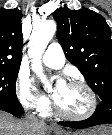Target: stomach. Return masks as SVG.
I'll list each match as a JSON object with an SVG mask.
<instances>
[{"label": "stomach", "instance_id": "obj_1", "mask_svg": "<svg viewBox=\"0 0 112 135\" xmlns=\"http://www.w3.org/2000/svg\"><path fill=\"white\" fill-rule=\"evenodd\" d=\"M112 131H109L107 127H99L91 132H75V133H60L56 132V135H110Z\"/></svg>", "mask_w": 112, "mask_h": 135}]
</instances>
